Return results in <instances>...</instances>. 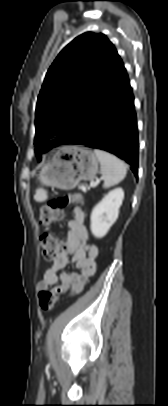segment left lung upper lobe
<instances>
[{"instance_id":"left-lung-upper-lobe-1","label":"left lung upper lobe","mask_w":168,"mask_h":406,"mask_svg":"<svg viewBox=\"0 0 168 406\" xmlns=\"http://www.w3.org/2000/svg\"><path fill=\"white\" fill-rule=\"evenodd\" d=\"M122 60L103 34L84 33L50 66L37 100L36 154L64 144L82 128ZM52 135H60L48 142Z\"/></svg>"}]
</instances>
